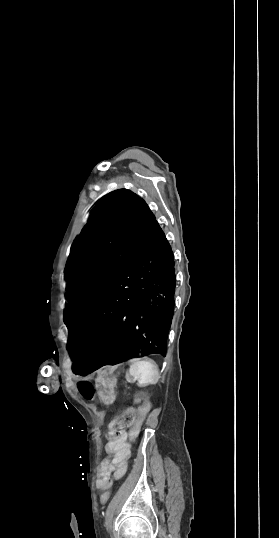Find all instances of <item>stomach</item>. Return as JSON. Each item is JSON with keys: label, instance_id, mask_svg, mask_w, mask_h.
Masks as SVG:
<instances>
[{"label": "stomach", "instance_id": "stomach-1", "mask_svg": "<svg viewBox=\"0 0 279 538\" xmlns=\"http://www.w3.org/2000/svg\"><path fill=\"white\" fill-rule=\"evenodd\" d=\"M101 376L105 379H101L98 382V393L100 395L101 401L105 405L111 406L117 399L116 386L111 382L112 379V369L110 367H103L101 369Z\"/></svg>", "mask_w": 279, "mask_h": 538}]
</instances>
